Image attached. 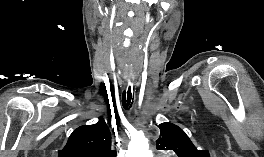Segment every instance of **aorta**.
Instances as JSON below:
<instances>
[{
	"label": "aorta",
	"instance_id": "aorta-1",
	"mask_svg": "<svg viewBox=\"0 0 264 157\" xmlns=\"http://www.w3.org/2000/svg\"><path fill=\"white\" fill-rule=\"evenodd\" d=\"M127 155L128 157H151L148 140L141 134L135 136L129 144Z\"/></svg>",
	"mask_w": 264,
	"mask_h": 157
}]
</instances>
